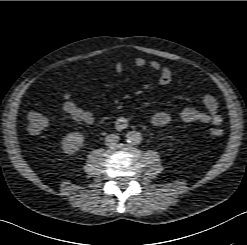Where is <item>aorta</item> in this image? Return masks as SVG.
<instances>
[{
  "label": "aorta",
  "mask_w": 247,
  "mask_h": 245,
  "mask_svg": "<svg viewBox=\"0 0 247 245\" xmlns=\"http://www.w3.org/2000/svg\"><path fill=\"white\" fill-rule=\"evenodd\" d=\"M127 141L131 144H139L142 141L141 133L138 131H129L126 134Z\"/></svg>",
  "instance_id": "1"
}]
</instances>
